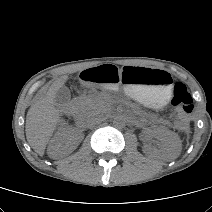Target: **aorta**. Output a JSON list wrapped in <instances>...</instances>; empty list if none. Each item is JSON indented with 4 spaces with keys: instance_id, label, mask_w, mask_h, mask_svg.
I'll list each match as a JSON object with an SVG mask.
<instances>
[{
    "instance_id": "762f6f07",
    "label": "aorta",
    "mask_w": 212,
    "mask_h": 212,
    "mask_svg": "<svg viewBox=\"0 0 212 212\" xmlns=\"http://www.w3.org/2000/svg\"><path fill=\"white\" fill-rule=\"evenodd\" d=\"M113 124L115 127H118V128L124 127L126 124V119L122 115H117L113 120Z\"/></svg>"
}]
</instances>
